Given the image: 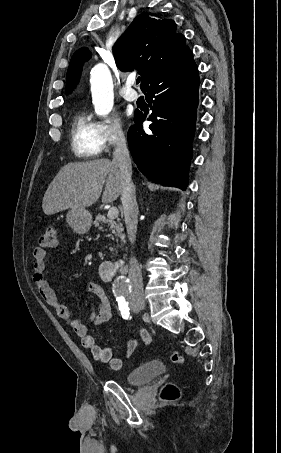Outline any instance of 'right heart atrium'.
<instances>
[{"label":"right heart atrium","instance_id":"obj_1","mask_svg":"<svg viewBox=\"0 0 281 453\" xmlns=\"http://www.w3.org/2000/svg\"><path fill=\"white\" fill-rule=\"evenodd\" d=\"M93 90L94 98L96 100H103L109 94V85L103 80L95 79ZM99 124L103 141L108 148H115L124 143L126 140V130L120 120L107 119ZM115 172L118 171L114 170L112 175Z\"/></svg>","mask_w":281,"mask_h":453}]
</instances>
